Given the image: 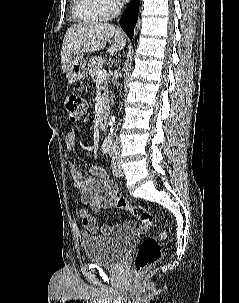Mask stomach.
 <instances>
[{"mask_svg": "<svg viewBox=\"0 0 239 303\" xmlns=\"http://www.w3.org/2000/svg\"><path fill=\"white\" fill-rule=\"evenodd\" d=\"M66 75L69 79L80 81L87 76L86 60L82 55L73 57L66 66Z\"/></svg>", "mask_w": 239, "mask_h": 303, "instance_id": "stomach-1", "label": "stomach"}]
</instances>
